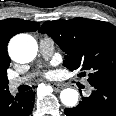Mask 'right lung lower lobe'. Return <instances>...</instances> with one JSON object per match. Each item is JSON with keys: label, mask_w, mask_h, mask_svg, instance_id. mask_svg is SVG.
<instances>
[{"label": "right lung lower lobe", "mask_w": 116, "mask_h": 116, "mask_svg": "<svg viewBox=\"0 0 116 116\" xmlns=\"http://www.w3.org/2000/svg\"><path fill=\"white\" fill-rule=\"evenodd\" d=\"M34 106L32 91L10 94L9 90L0 96V116H29Z\"/></svg>", "instance_id": "98d812e1"}]
</instances>
